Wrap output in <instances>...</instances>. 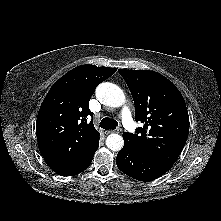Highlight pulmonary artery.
Masks as SVG:
<instances>
[{"label":"pulmonary artery","instance_id":"obj_1","mask_svg":"<svg viewBox=\"0 0 221 221\" xmlns=\"http://www.w3.org/2000/svg\"><path fill=\"white\" fill-rule=\"evenodd\" d=\"M121 118H122V123L126 129H128L131 132L136 131V124L128 108L125 107L122 109Z\"/></svg>","mask_w":221,"mask_h":221}]
</instances>
